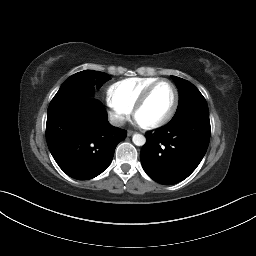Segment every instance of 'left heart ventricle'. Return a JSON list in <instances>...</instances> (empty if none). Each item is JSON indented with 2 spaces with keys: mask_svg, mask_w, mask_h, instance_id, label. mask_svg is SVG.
Returning <instances> with one entry per match:
<instances>
[{
  "mask_svg": "<svg viewBox=\"0 0 256 256\" xmlns=\"http://www.w3.org/2000/svg\"><path fill=\"white\" fill-rule=\"evenodd\" d=\"M174 100L173 88L168 83L159 84L151 93L147 102L136 115L142 124L155 122L164 117L170 110Z\"/></svg>",
  "mask_w": 256,
  "mask_h": 256,
  "instance_id": "left-heart-ventricle-1",
  "label": "left heart ventricle"
}]
</instances>
